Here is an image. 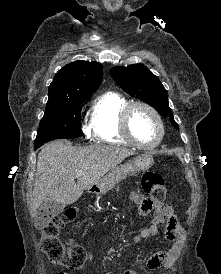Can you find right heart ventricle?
<instances>
[{
	"instance_id": "obj_1",
	"label": "right heart ventricle",
	"mask_w": 221,
	"mask_h": 274,
	"mask_svg": "<svg viewBox=\"0 0 221 274\" xmlns=\"http://www.w3.org/2000/svg\"><path fill=\"white\" fill-rule=\"evenodd\" d=\"M130 101L120 93L109 91L96 98L91 112V129L99 142L131 145L121 131L120 118Z\"/></svg>"
}]
</instances>
